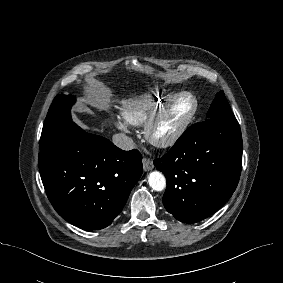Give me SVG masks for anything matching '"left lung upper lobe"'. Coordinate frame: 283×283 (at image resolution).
<instances>
[{
    "instance_id": "5c2ea615",
    "label": "left lung upper lobe",
    "mask_w": 283,
    "mask_h": 283,
    "mask_svg": "<svg viewBox=\"0 0 283 283\" xmlns=\"http://www.w3.org/2000/svg\"><path fill=\"white\" fill-rule=\"evenodd\" d=\"M234 114L231 112V108L226 100L223 91H220L214 101L212 102L207 114V118L214 117H232Z\"/></svg>"
}]
</instances>
